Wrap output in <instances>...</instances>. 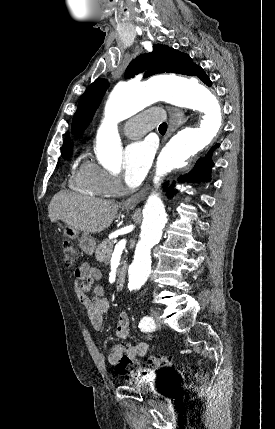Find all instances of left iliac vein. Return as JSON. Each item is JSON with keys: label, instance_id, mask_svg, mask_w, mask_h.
I'll list each match as a JSON object with an SVG mask.
<instances>
[{"label": "left iliac vein", "instance_id": "obj_1", "mask_svg": "<svg viewBox=\"0 0 275 429\" xmlns=\"http://www.w3.org/2000/svg\"><path fill=\"white\" fill-rule=\"evenodd\" d=\"M152 318L154 319V321H155L156 325H157L158 327H161V325H162V320H161V318H160V313H159L158 311H153V312H152Z\"/></svg>", "mask_w": 275, "mask_h": 429}]
</instances>
